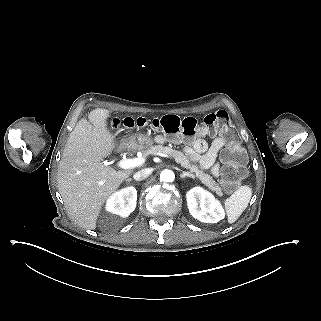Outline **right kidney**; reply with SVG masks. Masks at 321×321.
Wrapping results in <instances>:
<instances>
[{"instance_id": "right-kidney-1", "label": "right kidney", "mask_w": 321, "mask_h": 321, "mask_svg": "<svg viewBox=\"0 0 321 321\" xmlns=\"http://www.w3.org/2000/svg\"><path fill=\"white\" fill-rule=\"evenodd\" d=\"M137 191L134 187H127L115 193L107 203V210L115 214L128 216L136 207Z\"/></svg>"}]
</instances>
